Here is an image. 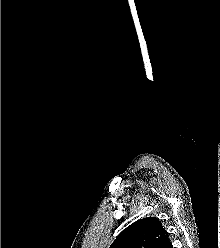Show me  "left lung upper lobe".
I'll list each match as a JSON object with an SVG mask.
<instances>
[{
  "instance_id": "5c2ea615",
  "label": "left lung upper lobe",
  "mask_w": 220,
  "mask_h": 248,
  "mask_svg": "<svg viewBox=\"0 0 220 248\" xmlns=\"http://www.w3.org/2000/svg\"><path fill=\"white\" fill-rule=\"evenodd\" d=\"M171 241L159 219H140L124 229L110 248H170Z\"/></svg>"
}]
</instances>
